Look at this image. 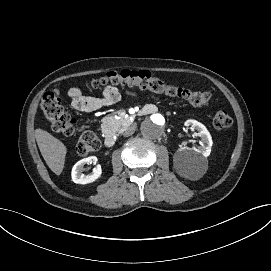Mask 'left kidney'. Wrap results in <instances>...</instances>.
I'll list each match as a JSON object with an SVG mask.
<instances>
[{"label":"left kidney","instance_id":"left-kidney-1","mask_svg":"<svg viewBox=\"0 0 271 271\" xmlns=\"http://www.w3.org/2000/svg\"><path fill=\"white\" fill-rule=\"evenodd\" d=\"M185 123L186 126H191L199 132L201 141L199 146H195L192 149L187 148V146L184 144V146L176 153L175 161L180 168H185L187 166L192 167L193 165L198 164L200 155L202 157L209 156L213 145L210 132L204 124L195 119H188ZM188 173L190 174V172Z\"/></svg>","mask_w":271,"mask_h":271}]
</instances>
